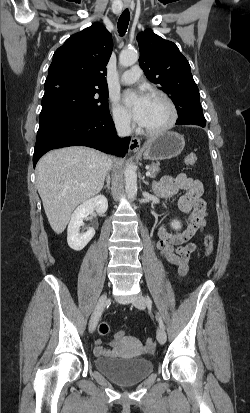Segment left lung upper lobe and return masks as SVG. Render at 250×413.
I'll return each instance as SVG.
<instances>
[{"mask_svg":"<svg viewBox=\"0 0 250 413\" xmlns=\"http://www.w3.org/2000/svg\"><path fill=\"white\" fill-rule=\"evenodd\" d=\"M140 50L139 64L147 78L159 84L169 94L176 109L185 107L196 110L200 105V94L190 71L187 59L178 47L146 29L137 36Z\"/></svg>","mask_w":250,"mask_h":413,"instance_id":"1","label":"left lung upper lobe"}]
</instances>
